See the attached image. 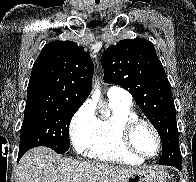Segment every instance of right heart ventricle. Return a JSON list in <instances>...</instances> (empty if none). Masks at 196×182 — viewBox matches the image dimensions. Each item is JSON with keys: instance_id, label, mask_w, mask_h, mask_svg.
Listing matches in <instances>:
<instances>
[{"instance_id": "e07e8e85", "label": "right heart ventricle", "mask_w": 196, "mask_h": 182, "mask_svg": "<svg viewBox=\"0 0 196 182\" xmlns=\"http://www.w3.org/2000/svg\"><path fill=\"white\" fill-rule=\"evenodd\" d=\"M108 114L97 119L93 141L87 151L89 158L122 165H139L144 160L127 152L121 142V126L137 117L131 103L109 99Z\"/></svg>"}]
</instances>
